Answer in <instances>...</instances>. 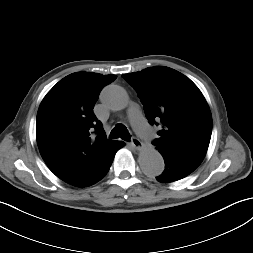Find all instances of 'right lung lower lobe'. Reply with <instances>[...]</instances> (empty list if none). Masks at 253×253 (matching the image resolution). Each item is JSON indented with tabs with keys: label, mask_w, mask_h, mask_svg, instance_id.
Wrapping results in <instances>:
<instances>
[{
	"label": "right lung lower lobe",
	"mask_w": 253,
	"mask_h": 253,
	"mask_svg": "<svg viewBox=\"0 0 253 253\" xmlns=\"http://www.w3.org/2000/svg\"><path fill=\"white\" fill-rule=\"evenodd\" d=\"M124 146V142L122 141H115L113 143V145L110 147V149L107 151V155H106V159H105V175L106 173L108 172L112 162H113V159H114V156H115V153L121 148ZM104 175V176H105Z\"/></svg>",
	"instance_id": "98d812e1"
}]
</instances>
